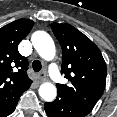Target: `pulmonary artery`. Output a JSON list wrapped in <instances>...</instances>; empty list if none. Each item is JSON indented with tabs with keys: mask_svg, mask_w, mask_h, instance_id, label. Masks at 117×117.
Returning a JSON list of instances; mask_svg holds the SVG:
<instances>
[{
	"mask_svg": "<svg viewBox=\"0 0 117 117\" xmlns=\"http://www.w3.org/2000/svg\"><path fill=\"white\" fill-rule=\"evenodd\" d=\"M49 71H50V76H51L52 80L57 83L60 82L61 76H60L59 70L55 64L50 65Z\"/></svg>",
	"mask_w": 117,
	"mask_h": 117,
	"instance_id": "obj_1",
	"label": "pulmonary artery"
}]
</instances>
